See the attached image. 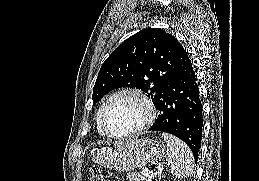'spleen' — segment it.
Instances as JSON below:
<instances>
[{
  "label": "spleen",
  "instance_id": "3e777b00",
  "mask_svg": "<svg viewBox=\"0 0 259 181\" xmlns=\"http://www.w3.org/2000/svg\"><path fill=\"white\" fill-rule=\"evenodd\" d=\"M167 144V161L171 174L177 178H187L193 174L194 158L190 148L179 138L162 133Z\"/></svg>",
  "mask_w": 259,
  "mask_h": 181
}]
</instances>
